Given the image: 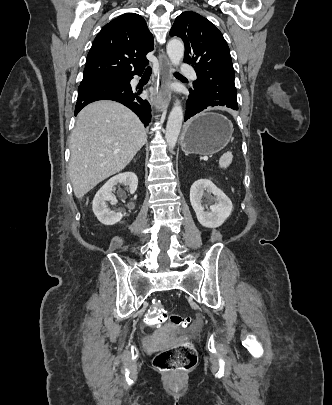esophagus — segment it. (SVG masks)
Here are the masks:
<instances>
[{
    "mask_svg": "<svg viewBox=\"0 0 332 405\" xmlns=\"http://www.w3.org/2000/svg\"><path fill=\"white\" fill-rule=\"evenodd\" d=\"M160 75L157 80V98L155 106L163 108L171 99L170 84L172 81V67L168 58L161 53L159 55Z\"/></svg>",
    "mask_w": 332,
    "mask_h": 405,
    "instance_id": "1",
    "label": "esophagus"
}]
</instances>
